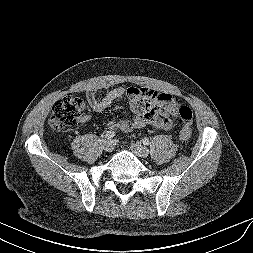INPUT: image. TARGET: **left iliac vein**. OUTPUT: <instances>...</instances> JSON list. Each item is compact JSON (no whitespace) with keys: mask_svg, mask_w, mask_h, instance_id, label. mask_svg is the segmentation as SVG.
Masks as SVG:
<instances>
[{"mask_svg":"<svg viewBox=\"0 0 253 253\" xmlns=\"http://www.w3.org/2000/svg\"><path fill=\"white\" fill-rule=\"evenodd\" d=\"M131 150L141 158H146L149 155V151L141 143H132Z\"/></svg>","mask_w":253,"mask_h":253,"instance_id":"left-iliac-vein-1","label":"left iliac vein"}]
</instances>
